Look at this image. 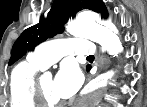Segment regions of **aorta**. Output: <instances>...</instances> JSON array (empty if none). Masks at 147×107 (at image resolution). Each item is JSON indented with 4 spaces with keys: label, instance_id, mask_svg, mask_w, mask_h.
Instances as JSON below:
<instances>
[{
    "label": "aorta",
    "instance_id": "obj_1",
    "mask_svg": "<svg viewBox=\"0 0 147 107\" xmlns=\"http://www.w3.org/2000/svg\"><path fill=\"white\" fill-rule=\"evenodd\" d=\"M66 30L72 36L87 38L97 42L103 50L113 57H117L122 51L120 38L110 24H99L95 20L79 17L69 22ZM112 73V71H108L87 85L86 93L82 98L85 107L96 106L102 100L107 79Z\"/></svg>",
    "mask_w": 147,
    "mask_h": 107
}]
</instances>
